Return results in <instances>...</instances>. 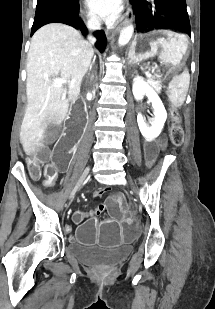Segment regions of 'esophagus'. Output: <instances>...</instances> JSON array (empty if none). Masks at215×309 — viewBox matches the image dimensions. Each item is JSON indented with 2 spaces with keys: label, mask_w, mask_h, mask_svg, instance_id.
<instances>
[{
  "label": "esophagus",
  "mask_w": 215,
  "mask_h": 309,
  "mask_svg": "<svg viewBox=\"0 0 215 309\" xmlns=\"http://www.w3.org/2000/svg\"><path fill=\"white\" fill-rule=\"evenodd\" d=\"M133 18V10L131 5L127 6V13L124 22H129ZM119 31V27H115L114 25L108 26L106 30V36L108 39H112L116 32Z\"/></svg>",
  "instance_id": "1"
}]
</instances>
